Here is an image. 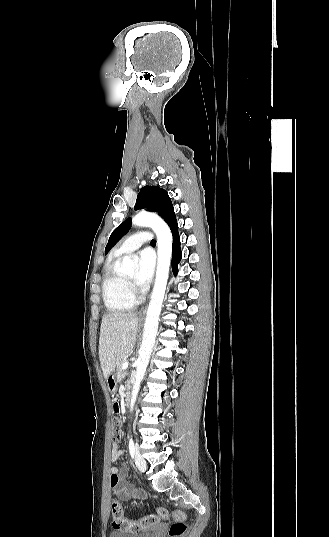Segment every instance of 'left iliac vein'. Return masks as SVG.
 <instances>
[{
    "instance_id": "obj_1",
    "label": "left iliac vein",
    "mask_w": 329,
    "mask_h": 537,
    "mask_svg": "<svg viewBox=\"0 0 329 537\" xmlns=\"http://www.w3.org/2000/svg\"><path fill=\"white\" fill-rule=\"evenodd\" d=\"M135 464L141 472H144L146 470V462L144 458L138 453H136L135 455Z\"/></svg>"
}]
</instances>
